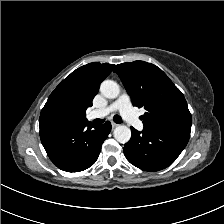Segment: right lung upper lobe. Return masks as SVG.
Returning a JSON list of instances; mask_svg holds the SVG:
<instances>
[{
    "instance_id": "cb5924a9",
    "label": "right lung upper lobe",
    "mask_w": 224,
    "mask_h": 224,
    "mask_svg": "<svg viewBox=\"0 0 224 224\" xmlns=\"http://www.w3.org/2000/svg\"><path fill=\"white\" fill-rule=\"evenodd\" d=\"M112 64L89 63L81 66L67 76L51 93L49 99L63 98L74 108L77 122H86V110L92 106V100L97 94L100 83L113 70Z\"/></svg>"
}]
</instances>
